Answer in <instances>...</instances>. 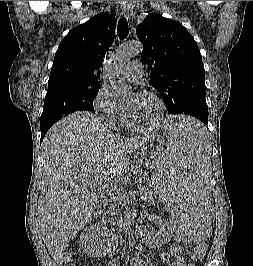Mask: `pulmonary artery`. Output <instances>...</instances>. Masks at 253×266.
Segmentation results:
<instances>
[{
  "instance_id": "1",
  "label": "pulmonary artery",
  "mask_w": 253,
  "mask_h": 266,
  "mask_svg": "<svg viewBox=\"0 0 253 266\" xmlns=\"http://www.w3.org/2000/svg\"><path fill=\"white\" fill-rule=\"evenodd\" d=\"M121 74L130 81H137L143 75V65L139 61H132L122 69Z\"/></svg>"
}]
</instances>
